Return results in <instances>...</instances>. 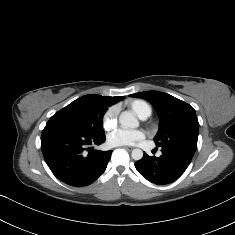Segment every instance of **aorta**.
Segmentation results:
<instances>
[{
	"label": "aorta",
	"instance_id": "1",
	"mask_svg": "<svg viewBox=\"0 0 235 235\" xmlns=\"http://www.w3.org/2000/svg\"><path fill=\"white\" fill-rule=\"evenodd\" d=\"M119 123L122 129H134L139 125V121L130 112H123L119 116ZM131 156L138 161L143 158V151L141 149H133Z\"/></svg>",
	"mask_w": 235,
	"mask_h": 235
}]
</instances>
